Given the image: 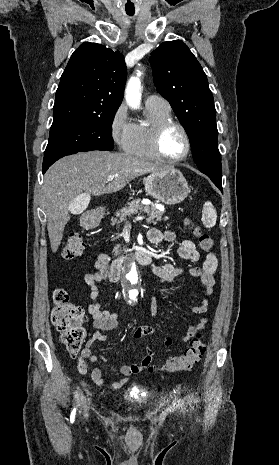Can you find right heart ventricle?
Returning a JSON list of instances; mask_svg holds the SVG:
<instances>
[{
	"label": "right heart ventricle",
	"mask_w": 279,
	"mask_h": 465,
	"mask_svg": "<svg viewBox=\"0 0 279 465\" xmlns=\"http://www.w3.org/2000/svg\"><path fill=\"white\" fill-rule=\"evenodd\" d=\"M146 123L133 124V133L129 146L125 150L130 156L144 159H158L152 150L154 128L165 120L172 119L171 110L155 106H146Z\"/></svg>",
	"instance_id": "right-heart-ventricle-1"
}]
</instances>
